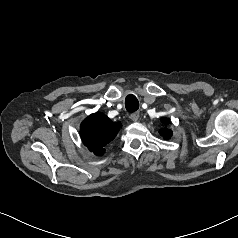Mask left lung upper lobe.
<instances>
[{
  "label": "left lung upper lobe",
  "mask_w": 238,
  "mask_h": 238,
  "mask_svg": "<svg viewBox=\"0 0 238 238\" xmlns=\"http://www.w3.org/2000/svg\"><path fill=\"white\" fill-rule=\"evenodd\" d=\"M161 122L164 125H168L170 123V121L167 118H162ZM159 133H160L161 136H163L164 139H168L172 136V131L169 130L167 127H164L162 129H160Z\"/></svg>",
  "instance_id": "1"
}]
</instances>
